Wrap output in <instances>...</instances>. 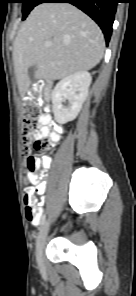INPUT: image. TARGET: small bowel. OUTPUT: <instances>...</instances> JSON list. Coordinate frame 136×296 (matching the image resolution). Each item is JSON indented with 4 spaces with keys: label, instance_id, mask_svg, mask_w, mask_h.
I'll return each instance as SVG.
<instances>
[{
    "label": "small bowel",
    "instance_id": "c3829d8e",
    "mask_svg": "<svg viewBox=\"0 0 136 296\" xmlns=\"http://www.w3.org/2000/svg\"><path fill=\"white\" fill-rule=\"evenodd\" d=\"M41 121H42V126L39 128V131L37 133V137L38 138H42V137H49L52 141H56L57 138H58V130H51L49 128V124L51 123V116L49 113H42L41 114ZM49 158H45L43 163L44 165H47L49 163ZM37 183H39L37 180H36ZM37 189L39 191H43V187L41 185H38ZM39 215H40V219L37 220V221H32L33 222V225H38L42 218H43V212L41 209H39Z\"/></svg>",
    "mask_w": 136,
    "mask_h": 296
}]
</instances>
